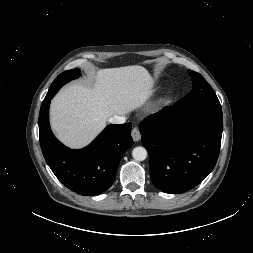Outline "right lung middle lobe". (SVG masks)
Returning a JSON list of instances; mask_svg holds the SVG:
<instances>
[{
    "label": "right lung middle lobe",
    "instance_id": "obj_1",
    "mask_svg": "<svg viewBox=\"0 0 253 253\" xmlns=\"http://www.w3.org/2000/svg\"><path fill=\"white\" fill-rule=\"evenodd\" d=\"M80 75L79 69H72L67 70L60 75L53 81L51 84L49 91L46 96H50L51 94L57 93V91L67 82L71 81L72 79L78 78Z\"/></svg>",
    "mask_w": 253,
    "mask_h": 253
}]
</instances>
